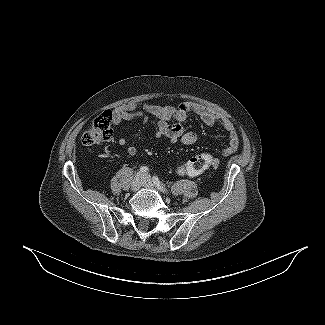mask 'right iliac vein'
Listing matches in <instances>:
<instances>
[{
    "label": "right iliac vein",
    "mask_w": 325,
    "mask_h": 325,
    "mask_svg": "<svg viewBox=\"0 0 325 325\" xmlns=\"http://www.w3.org/2000/svg\"><path fill=\"white\" fill-rule=\"evenodd\" d=\"M143 180V175L141 173H137L131 182V190L137 191L141 187Z\"/></svg>",
    "instance_id": "63e3f726"
}]
</instances>
